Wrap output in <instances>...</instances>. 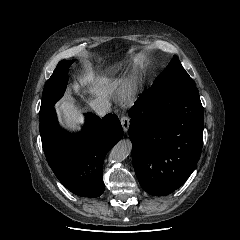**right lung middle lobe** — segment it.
Here are the masks:
<instances>
[{"instance_id": "obj_1", "label": "right lung middle lobe", "mask_w": 240, "mask_h": 240, "mask_svg": "<svg viewBox=\"0 0 240 240\" xmlns=\"http://www.w3.org/2000/svg\"><path fill=\"white\" fill-rule=\"evenodd\" d=\"M73 60H62L57 64L53 74L47 80L42 94L39 120L54 109L55 103L63 96L67 87V72Z\"/></svg>"}]
</instances>
